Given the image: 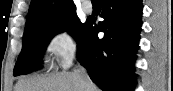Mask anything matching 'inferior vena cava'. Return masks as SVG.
I'll list each match as a JSON object with an SVG mask.
<instances>
[{"label": "inferior vena cava", "instance_id": "inferior-vena-cava-1", "mask_svg": "<svg viewBox=\"0 0 173 91\" xmlns=\"http://www.w3.org/2000/svg\"><path fill=\"white\" fill-rule=\"evenodd\" d=\"M76 74H77V77L79 78L81 84H82L83 86H86V85H87V84H86V81L89 79L88 74H87V72H86V69H85L84 67H80V68L77 70Z\"/></svg>", "mask_w": 173, "mask_h": 91}]
</instances>
